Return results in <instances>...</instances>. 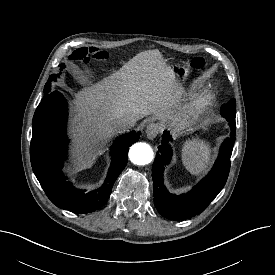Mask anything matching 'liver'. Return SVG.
<instances>
[{
  "label": "liver",
  "mask_w": 275,
  "mask_h": 275,
  "mask_svg": "<svg viewBox=\"0 0 275 275\" xmlns=\"http://www.w3.org/2000/svg\"><path fill=\"white\" fill-rule=\"evenodd\" d=\"M176 82L173 69L155 49L140 52L111 76L84 87L73 100L75 158L95 160L99 148L120 130L117 120L126 115L137 120L167 117L179 96Z\"/></svg>",
  "instance_id": "obj_1"
}]
</instances>
